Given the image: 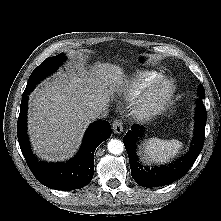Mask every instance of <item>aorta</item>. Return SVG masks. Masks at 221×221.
Listing matches in <instances>:
<instances>
[{
  "instance_id": "762f6f07",
  "label": "aorta",
  "mask_w": 221,
  "mask_h": 221,
  "mask_svg": "<svg viewBox=\"0 0 221 221\" xmlns=\"http://www.w3.org/2000/svg\"><path fill=\"white\" fill-rule=\"evenodd\" d=\"M107 147H108V151L114 155H119L124 150V144L122 143V141L118 139H111L108 142Z\"/></svg>"
}]
</instances>
